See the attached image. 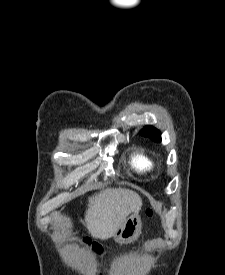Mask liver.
I'll use <instances>...</instances> for the list:
<instances>
[{
    "instance_id": "liver-1",
    "label": "liver",
    "mask_w": 225,
    "mask_h": 275,
    "mask_svg": "<svg viewBox=\"0 0 225 275\" xmlns=\"http://www.w3.org/2000/svg\"><path fill=\"white\" fill-rule=\"evenodd\" d=\"M142 207L140 196L129 189L106 188L89 198L86 227L93 238L106 240L114 235L129 214Z\"/></svg>"
}]
</instances>
